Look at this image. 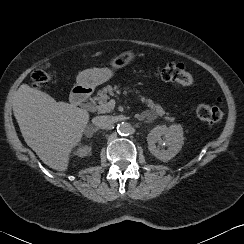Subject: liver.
I'll return each mask as SVG.
<instances>
[{"label":"liver","instance_id":"obj_1","mask_svg":"<svg viewBox=\"0 0 244 244\" xmlns=\"http://www.w3.org/2000/svg\"><path fill=\"white\" fill-rule=\"evenodd\" d=\"M101 54L97 52L93 57ZM13 112L26 144L41 161L53 170L66 171L70 153L87 127L89 113L73 104L57 102L27 84L19 87Z\"/></svg>","mask_w":244,"mask_h":244}]
</instances>
